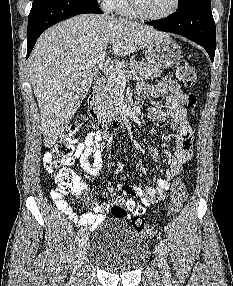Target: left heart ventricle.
<instances>
[{
  "label": "left heart ventricle",
  "instance_id": "left-heart-ventricle-1",
  "mask_svg": "<svg viewBox=\"0 0 233 286\" xmlns=\"http://www.w3.org/2000/svg\"><path fill=\"white\" fill-rule=\"evenodd\" d=\"M139 3L145 13L160 16L172 9L174 0H139Z\"/></svg>",
  "mask_w": 233,
  "mask_h": 286
}]
</instances>
